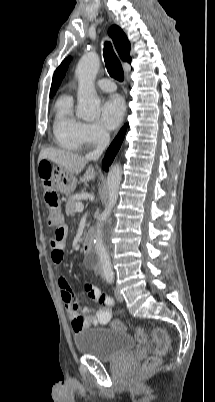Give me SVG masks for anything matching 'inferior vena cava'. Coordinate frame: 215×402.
Segmentation results:
<instances>
[{"label":"inferior vena cava","mask_w":215,"mask_h":402,"mask_svg":"<svg viewBox=\"0 0 215 402\" xmlns=\"http://www.w3.org/2000/svg\"><path fill=\"white\" fill-rule=\"evenodd\" d=\"M110 142V135L105 130H101L98 135V143L96 148L86 155L88 160H98Z\"/></svg>","instance_id":"1"}]
</instances>
